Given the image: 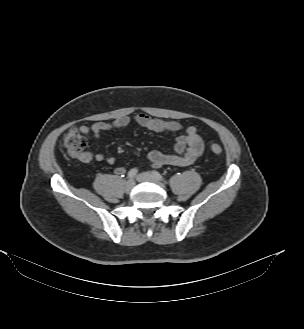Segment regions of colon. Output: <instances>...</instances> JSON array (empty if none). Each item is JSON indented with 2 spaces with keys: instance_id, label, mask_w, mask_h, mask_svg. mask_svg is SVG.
<instances>
[{
  "instance_id": "1",
  "label": "colon",
  "mask_w": 304,
  "mask_h": 329,
  "mask_svg": "<svg viewBox=\"0 0 304 329\" xmlns=\"http://www.w3.org/2000/svg\"><path fill=\"white\" fill-rule=\"evenodd\" d=\"M208 143L212 153L219 155L223 152L221 145L212 138L208 139ZM61 146L69 157L79 159L84 153L86 146V139L81 129L77 126L68 128L62 137Z\"/></svg>"
}]
</instances>
